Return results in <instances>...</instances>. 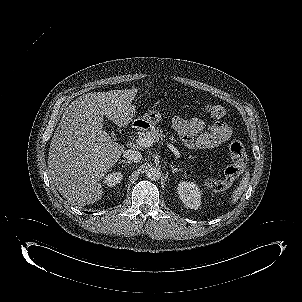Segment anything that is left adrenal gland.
I'll return each mask as SVG.
<instances>
[{
	"instance_id": "left-adrenal-gland-1",
	"label": "left adrenal gland",
	"mask_w": 302,
	"mask_h": 302,
	"mask_svg": "<svg viewBox=\"0 0 302 302\" xmlns=\"http://www.w3.org/2000/svg\"><path fill=\"white\" fill-rule=\"evenodd\" d=\"M171 170H172V173H173V174H175L176 172L181 171V169L175 168V167L172 166V165H171Z\"/></svg>"
}]
</instances>
